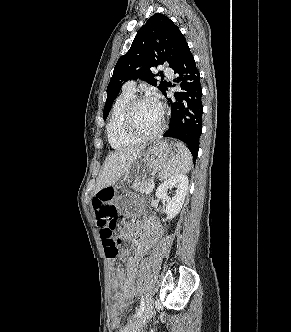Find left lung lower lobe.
I'll return each mask as SVG.
<instances>
[{"instance_id":"obj_1","label":"left lung lower lobe","mask_w":291,"mask_h":332,"mask_svg":"<svg viewBox=\"0 0 291 332\" xmlns=\"http://www.w3.org/2000/svg\"><path fill=\"white\" fill-rule=\"evenodd\" d=\"M173 70L179 75L175 82L181 87V91L174 94L173 100L168 99L172 112L169 128L163 136L186 143L196 160L198 148L192 150L191 147L199 142L202 133V87L200 74L188 45Z\"/></svg>"}]
</instances>
